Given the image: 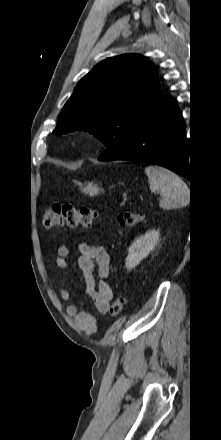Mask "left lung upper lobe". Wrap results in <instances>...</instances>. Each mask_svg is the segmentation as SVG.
Wrapping results in <instances>:
<instances>
[{
	"label": "left lung upper lobe",
	"mask_w": 221,
	"mask_h": 440,
	"mask_svg": "<svg viewBox=\"0 0 221 440\" xmlns=\"http://www.w3.org/2000/svg\"><path fill=\"white\" fill-rule=\"evenodd\" d=\"M154 65L137 54L107 58L77 84L53 134L85 130L107 147L102 161L125 153L132 130L162 95Z\"/></svg>",
	"instance_id": "left-lung-upper-lobe-1"
}]
</instances>
